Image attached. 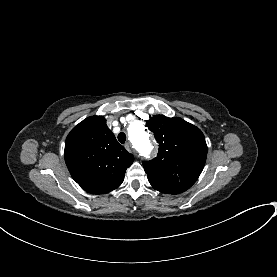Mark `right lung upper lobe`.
<instances>
[{
    "label": "right lung upper lobe",
    "mask_w": 277,
    "mask_h": 277,
    "mask_svg": "<svg viewBox=\"0 0 277 277\" xmlns=\"http://www.w3.org/2000/svg\"><path fill=\"white\" fill-rule=\"evenodd\" d=\"M64 157L73 179L92 194L121 185L134 157L115 139L103 116L80 122L67 136Z\"/></svg>",
    "instance_id": "cb5924a9"
}]
</instances>
